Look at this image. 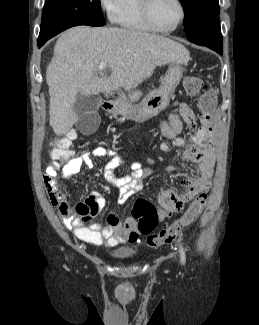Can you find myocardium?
Masks as SVG:
<instances>
[{
    "label": "myocardium",
    "instance_id": "1",
    "mask_svg": "<svg viewBox=\"0 0 259 325\" xmlns=\"http://www.w3.org/2000/svg\"><path fill=\"white\" fill-rule=\"evenodd\" d=\"M141 1V11H142V16L144 18V21L146 24L151 28V30L158 32V33H163V34H170L174 31H176L179 26L183 23L185 16H186V10H185V5L182 2V0H176L179 9H180V16L176 24L170 28V29H161L156 26L154 23L152 16H151V6L153 0H140Z\"/></svg>",
    "mask_w": 259,
    "mask_h": 325
}]
</instances>
